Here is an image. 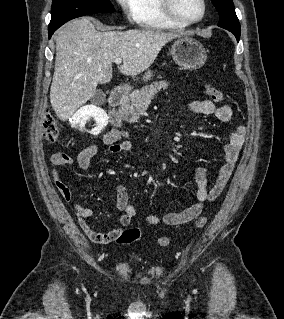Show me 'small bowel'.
Returning a JSON list of instances; mask_svg holds the SVG:
<instances>
[{
    "label": "small bowel",
    "mask_w": 284,
    "mask_h": 319,
    "mask_svg": "<svg viewBox=\"0 0 284 319\" xmlns=\"http://www.w3.org/2000/svg\"><path fill=\"white\" fill-rule=\"evenodd\" d=\"M189 110L195 114L213 115L221 122H229L232 117V110L227 105L216 106L209 100H195L189 103ZM245 130L243 127L235 128L229 135V138L223 146V159L217 171V175L213 183L209 182L208 173L205 168H199L196 171V182L198 185L196 193V202L177 213H167L162 218L157 215H147L145 220L149 225H157L161 221L170 226L180 225L190 222L197 218L203 209L205 202L216 200L224 188L226 187L238 160L240 151L244 143ZM102 141L107 145L106 154L112 155L120 152H130L133 144L128 138L125 131L117 128L110 129L103 137ZM98 148L94 143L86 145L77 156L78 166L87 171L90 168L92 158L97 154ZM52 178L55 186L68 203H72L74 213L78 222L87 235V237L98 244H107L117 241L123 232V227L129 225L134 214L135 208L129 202L128 191L125 187L119 186L116 191V206L121 212L120 228L109 232H98L91 228L87 223V219L92 215V210L88 207L81 206L73 201V195L63 179L61 168L73 164V159L66 153L57 152L51 156ZM88 188L97 191L93 184H88Z\"/></svg>",
    "instance_id": "small-bowel-1"
}]
</instances>
